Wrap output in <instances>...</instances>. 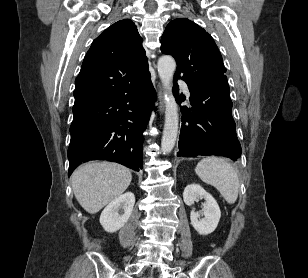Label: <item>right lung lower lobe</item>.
<instances>
[{
  "instance_id": "98d812e1",
  "label": "right lung lower lobe",
  "mask_w": 308,
  "mask_h": 278,
  "mask_svg": "<svg viewBox=\"0 0 308 278\" xmlns=\"http://www.w3.org/2000/svg\"><path fill=\"white\" fill-rule=\"evenodd\" d=\"M156 92L150 76L132 91L73 109L68 176L82 162L108 160L142 168V132Z\"/></svg>"
}]
</instances>
